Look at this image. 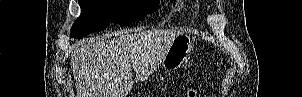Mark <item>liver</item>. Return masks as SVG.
<instances>
[{"label": "liver", "instance_id": "liver-1", "mask_svg": "<svg viewBox=\"0 0 302 97\" xmlns=\"http://www.w3.org/2000/svg\"><path fill=\"white\" fill-rule=\"evenodd\" d=\"M180 31L153 29L83 40L71 53L77 97H126L132 68L142 78L162 61Z\"/></svg>", "mask_w": 302, "mask_h": 97}]
</instances>
